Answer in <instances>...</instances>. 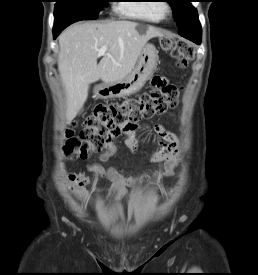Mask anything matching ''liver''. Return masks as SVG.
I'll list each match as a JSON object with an SVG mask.
<instances>
[{
    "label": "liver",
    "mask_w": 258,
    "mask_h": 275,
    "mask_svg": "<svg viewBox=\"0 0 258 275\" xmlns=\"http://www.w3.org/2000/svg\"><path fill=\"white\" fill-rule=\"evenodd\" d=\"M162 35L154 27L128 20L76 23L64 30L59 36L58 68L67 96V121L83 107L91 83L123 79L146 43ZM102 46L107 52L97 64Z\"/></svg>",
    "instance_id": "6515ba94"
}]
</instances>
